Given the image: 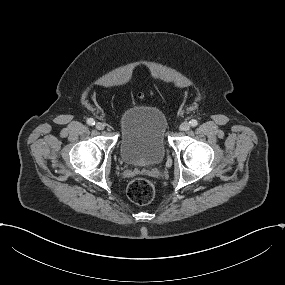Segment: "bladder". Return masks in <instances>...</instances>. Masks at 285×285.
<instances>
[{"label": "bladder", "mask_w": 285, "mask_h": 285, "mask_svg": "<svg viewBox=\"0 0 285 285\" xmlns=\"http://www.w3.org/2000/svg\"><path fill=\"white\" fill-rule=\"evenodd\" d=\"M119 127L120 156L124 163L142 168L163 160L168 123L161 109L128 108L120 115Z\"/></svg>", "instance_id": "obj_1"}]
</instances>
